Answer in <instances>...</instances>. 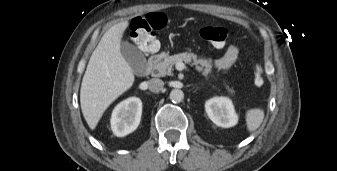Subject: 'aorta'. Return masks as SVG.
I'll return each instance as SVG.
<instances>
[{"instance_id": "aorta-1", "label": "aorta", "mask_w": 337, "mask_h": 171, "mask_svg": "<svg viewBox=\"0 0 337 171\" xmlns=\"http://www.w3.org/2000/svg\"><path fill=\"white\" fill-rule=\"evenodd\" d=\"M170 100L173 102V103H180L183 98H184V93L182 90L180 89H173L171 92H170Z\"/></svg>"}]
</instances>
